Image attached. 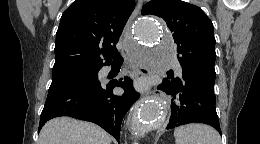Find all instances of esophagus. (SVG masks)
<instances>
[{"mask_svg": "<svg viewBox=\"0 0 260 144\" xmlns=\"http://www.w3.org/2000/svg\"><path fill=\"white\" fill-rule=\"evenodd\" d=\"M141 7H142V0H139L137 2L135 10L133 11L132 15L130 16L128 22L125 25V28L123 30V36H125V35H127L129 33L133 21L140 14ZM122 39H123V37H122ZM135 69H136L137 74H139V75H141L143 77H148L150 75L149 69L147 67H145L144 65L136 64L135 65ZM159 93H160V91L157 88H155L152 91H150V94H152L154 96H158Z\"/></svg>", "mask_w": 260, "mask_h": 144, "instance_id": "obj_1", "label": "esophagus"}]
</instances>
